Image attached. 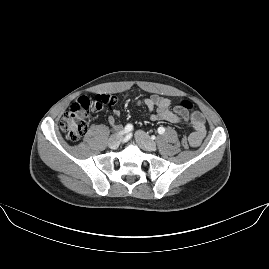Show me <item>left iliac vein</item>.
<instances>
[{"label":"left iliac vein","mask_w":269,"mask_h":269,"mask_svg":"<svg viewBox=\"0 0 269 269\" xmlns=\"http://www.w3.org/2000/svg\"><path fill=\"white\" fill-rule=\"evenodd\" d=\"M136 142L147 151H154L157 149V144L145 132L138 130L135 133Z\"/></svg>","instance_id":"left-iliac-vein-1"}]
</instances>
